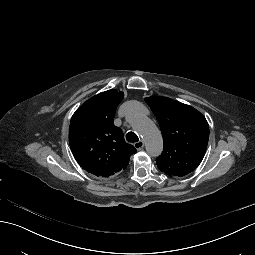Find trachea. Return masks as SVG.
Here are the masks:
<instances>
[{
  "instance_id": "1",
  "label": "trachea",
  "mask_w": 255,
  "mask_h": 255,
  "mask_svg": "<svg viewBox=\"0 0 255 255\" xmlns=\"http://www.w3.org/2000/svg\"><path fill=\"white\" fill-rule=\"evenodd\" d=\"M126 140L128 142H131V143H135L139 140L138 136L136 135V133L130 131L126 134Z\"/></svg>"
}]
</instances>
